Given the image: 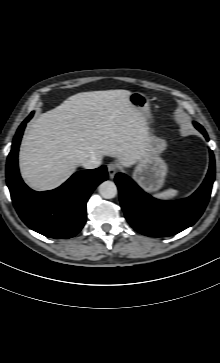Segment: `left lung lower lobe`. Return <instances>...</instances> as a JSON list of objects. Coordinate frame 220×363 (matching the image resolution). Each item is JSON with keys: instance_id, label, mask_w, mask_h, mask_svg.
<instances>
[{"instance_id": "1", "label": "left lung lower lobe", "mask_w": 220, "mask_h": 363, "mask_svg": "<svg viewBox=\"0 0 220 363\" xmlns=\"http://www.w3.org/2000/svg\"><path fill=\"white\" fill-rule=\"evenodd\" d=\"M194 125L208 140L202 126L198 123ZM214 179L215 160L210 150L208 174L199 189L187 199L175 202L156 200L122 173L116 175L115 182L123 211L131 226L146 236L166 237L181 232L199 219L209 201Z\"/></svg>"}]
</instances>
